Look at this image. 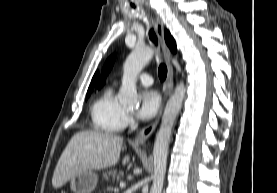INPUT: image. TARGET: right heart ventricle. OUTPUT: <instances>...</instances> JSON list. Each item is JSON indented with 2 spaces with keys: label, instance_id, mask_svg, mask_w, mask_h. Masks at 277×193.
Returning a JSON list of instances; mask_svg holds the SVG:
<instances>
[{
  "label": "right heart ventricle",
  "instance_id": "right-heart-ventricle-1",
  "mask_svg": "<svg viewBox=\"0 0 277 193\" xmlns=\"http://www.w3.org/2000/svg\"><path fill=\"white\" fill-rule=\"evenodd\" d=\"M124 107L116 100L112 87L106 88L91 106L90 114L94 130L102 133H118L124 128Z\"/></svg>",
  "mask_w": 277,
  "mask_h": 193
}]
</instances>
